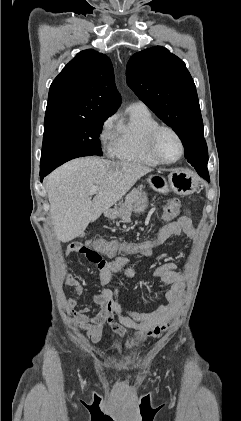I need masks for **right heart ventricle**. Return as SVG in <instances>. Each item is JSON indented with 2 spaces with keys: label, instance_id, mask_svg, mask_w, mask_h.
<instances>
[{
  "label": "right heart ventricle",
  "instance_id": "right-heart-ventricle-1",
  "mask_svg": "<svg viewBox=\"0 0 241 421\" xmlns=\"http://www.w3.org/2000/svg\"><path fill=\"white\" fill-rule=\"evenodd\" d=\"M158 125L148 108L131 105L127 110V118L118 122L113 133L111 155L122 161L159 165L147 146L149 133Z\"/></svg>",
  "mask_w": 241,
  "mask_h": 421
}]
</instances>
